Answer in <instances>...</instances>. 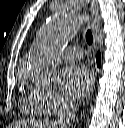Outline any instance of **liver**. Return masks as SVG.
Instances as JSON below:
<instances>
[{"label": "liver", "mask_w": 125, "mask_h": 128, "mask_svg": "<svg viewBox=\"0 0 125 128\" xmlns=\"http://www.w3.org/2000/svg\"><path fill=\"white\" fill-rule=\"evenodd\" d=\"M19 126H20V124H19ZM22 126H23V127H26V125H24V124H22Z\"/></svg>", "instance_id": "1"}]
</instances>
